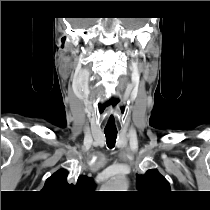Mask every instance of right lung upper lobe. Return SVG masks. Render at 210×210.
<instances>
[{
  "mask_svg": "<svg viewBox=\"0 0 210 210\" xmlns=\"http://www.w3.org/2000/svg\"><path fill=\"white\" fill-rule=\"evenodd\" d=\"M68 173L60 169L51 175L45 182L43 191L56 199H68L81 191H91L94 188L93 179L87 176H79L77 181L69 183Z\"/></svg>",
  "mask_w": 210,
  "mask_h": 210,
  "instance_id": "right-lung-upper-lobe-1",
  "label": "right lung upper lobe"
}]
</instances>
